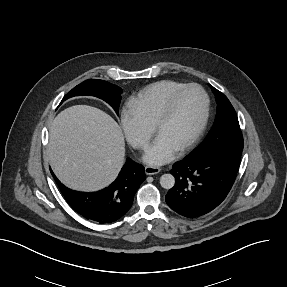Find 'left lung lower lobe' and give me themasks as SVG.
Wrapping results in <instances>:
<instances>
[{
	"label": "left lung lower lobe",
	"instance_id": "left-lung-lower-lobe-1",
	"mask_svg": "<svg viewBox=\"0 0 287 287\" xmlns=\"http://www.w3.org/2000/svg\"><path fill=\"white\" fill-rule=\"evenodd\" d=\"M242 150L223 148L217 153L198 151L176 162L170 171L175 185L165 196L178 214L195 218L216 208L229 193Z\"/></svg>",
	"mask_w": 287,
	"mask_h": 287
}]
</instances>
